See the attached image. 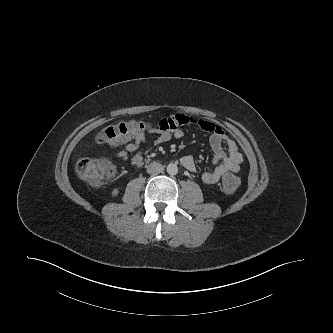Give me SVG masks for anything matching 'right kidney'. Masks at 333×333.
Segmentation results:
<instances>
[{
	"label": "right kidney",
	"mask_w": 333,
	"mask_h": 333,
	"mask_svg": "<svg viewBox=\"0 0 333 333\" xmlns=\"http://www.w3.org/2000/svg\"><path fill=\"white\" fill-rule=\"evenodd\" d=\"M118 193H119L118 188H114L113 191H112V196H117Z\"/></svg>",
	"instance_id": "1"
}]
</instances>
